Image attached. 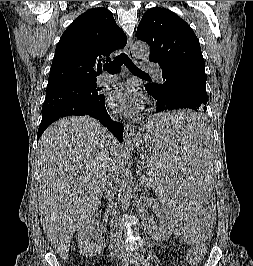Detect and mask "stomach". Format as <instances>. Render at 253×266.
I'll use <instances>...</instances> for the list:
<instances>
[{
    "instance_id": "stomach-1",
    "label": "stomach",
    "mask_w": 253,
    "mask_h": 266,
    "mask_svg": "<svg viewBox=\"0 0 253 266\" xmlns=\"http://www.w3.org/2000/svg\"><path fill=\"white\" fill-rule=\"evenodd\" d=\"M180 111H187V110H180ZM154 138H157V137L154 136V132H151V129L149 128L147 130V133L144 135L143 140H138L133 143V146L138 148L140 151H142L147 156V160L149 159L148 151L150 150V145H154Z\"/></svg>"
}]
</instances>
